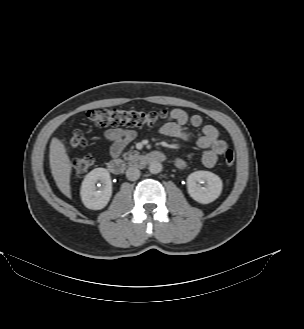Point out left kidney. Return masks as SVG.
Returning a JSON list of instances; mask_svg holds the SVG:
<instances>
[{
    "mask_svg": "<svg viewBox=\"0 0 304 329\" xmlns=\"http://www.w3.org/2000/svg\"><path fill=\"white\" fill-rule=\"evenodd\" d=\"M201 184H204L202 186ZM187 190L195 201L208 204L215 201L222 192V180L210 171H196L187 178Z\"/></svg>",
    "mask_w": 304,
    "mask_h": 329,
    "instance_id": "obj_1",
    "label": "left kidney"
}]
</instances>
